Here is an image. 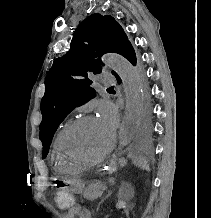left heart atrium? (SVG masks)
<instances>
[{"instance_id":"39dd6f15","label":"left heart atrium","mask_w":211,"mask_h":218,"mask_svg":"<svg viewBox=\"0 0 211 218\" xmlns=\"http://www.w3.org/2000/svg\"><path fill=\"white\" fill-rule=\"evenodd\" d=\"M97 119L106 129L113 133L118 124V114L116 108L108 101L100 102L98 106Z\"/></svg>"}]
</instances>
